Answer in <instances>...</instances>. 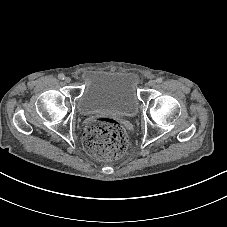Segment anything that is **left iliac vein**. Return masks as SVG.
I'll use <instances>...</instances> for the list:
<instances>
[{"instance_id": "left-iliac-vein-1", "label": "left iliac vein", "mask_w": 227, "mask_h": 227, "mask_svg": "<svg viewBox=\"0 0 227 227\" xmlns=\"http://www.w3.org/2000/svg\"><path fill=\"white\" fill-rule=\"evenodd\" d=\"M155 84H156V81L155 80H150L148 82V86H150V87L154 86Z\"/></svg>"}]
</instances>
